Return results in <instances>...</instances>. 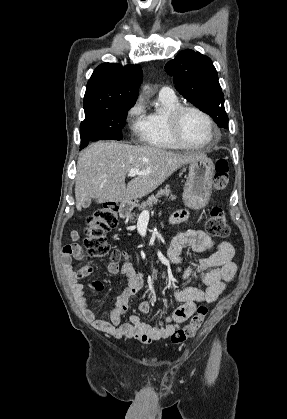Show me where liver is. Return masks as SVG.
Listing matches in <instances>:
<instances>
[{"label":"liver","instance_id":"1","mask_svg":"<svg viewBox=\"0 0 287 419\" xmlns=\"http://www.w3.org/2000/svg\"><path fill=\"white\" fill-rule=\"evenodd\" d=\"M206 157L202 153L180 154L154 146H134L99 141L82 151L77 161L76 208L93 198L97 203L128 202L153 192L181 166ZM132 168L149 171L136 175L126 186Z\"/></svg>","mask_w":287,"mask_h":419}]
</instances>
